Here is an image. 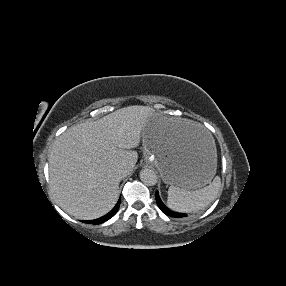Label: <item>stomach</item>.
Wrapping results in <instances>:
<instances>
[{"label":"stomach","instance_id":"1","mask_svg":"<svg viewBox=\"0 0 286 286\" xmlns=\"http://www.w3.org/2000/svg\"><path fill=\"white\" fill-rule=\"evenodd\" d=\"M140 138L145 159L156 166L166 184L195 190L216 174L213 136L199 121L151 116L141 127Z\"/></svg>","mask_w":286,"mask_h":286}]
</instances>
